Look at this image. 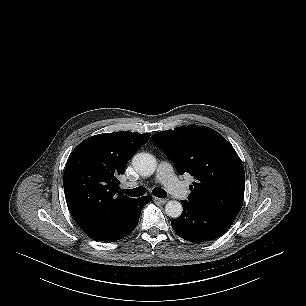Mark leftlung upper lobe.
Wrapping results in <instances>:
<instances>
[{
    "label": "left lung upper lobe",
    "mask_w": 306,
    "mask_h": 306,
    "mask_svg": "<svg viewBox=\"0 0 306 306\" xmlns=\"http://www.w3.org/2000/svg\"><path fill=\"white\" fill-rule=\"evenodd\" d=\"M151 139L178 172L195 178L188 202L237 215L242 207L245 173L240 158L217 131L198 125L155 133Z\"/></svg>",
    "instance_id": "5c2ea615"
}]
</instances>
